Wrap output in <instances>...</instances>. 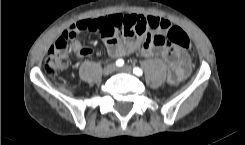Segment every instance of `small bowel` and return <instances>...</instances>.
<instances>
[{
	"label": "small bowel",
	"mask_w": 245,
	"mask_h": 145,
	"mask_svg": "<svg viewBox=\"0 0 245 145\" xmlns=\"http://www.w3.org/2000/svg\"><path fill=\"white\" fill-rule=\"evenodd\" d=\"M170 26V22L166 19L153 15L131 13L127 15L112 14L83 20L71 28L76 32L84 28L100 33L109 54L116 58L125 57L135 51H139V55L144 57L162 56L170 65L168 82L177 85L187 76L192 59L184 49L176 46H158L155 43V36L164 34ZM117 34H121L120 39L116 38ZM142 43L144 46L140 49ZM71 47L74 50L83 49V54H76L81 57L91 56L94 53L91 48L82 46L77 36L71 41ZM99 54L100 52H97V55Z\"/></svg>",
	"instance_id": "obj_1"
}]
</instances>
